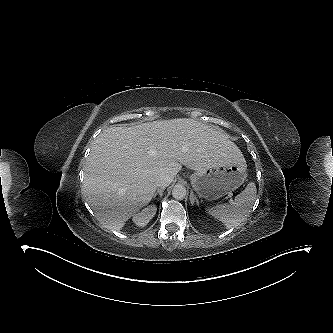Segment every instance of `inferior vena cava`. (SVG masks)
Listing matches in <instances>:
<instances>
[{"mask_svg": "<svg viewBox=\"0 0 333 333\" xmlns=\"http://www.w3.org/2000/svg\"><path fill=\"white\" fill-rule=\"evenodd\" d=\"M173 179L174 177L169 174H161L157 178L156 185L157 187L165 188L171 184Z\"/></svg>", "mask_w": 333, "mask_h": 333, "instance_id": "602c4592", "label": "inferior vena cava"}]
</instances>
